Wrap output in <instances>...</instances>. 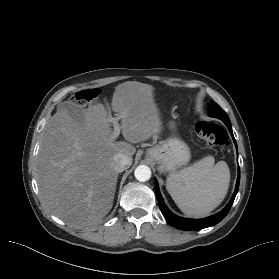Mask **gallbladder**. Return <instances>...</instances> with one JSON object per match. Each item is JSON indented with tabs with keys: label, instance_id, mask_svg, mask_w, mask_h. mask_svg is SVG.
<instances>
[{
	"label": "gallbladder",
	"instance_id": "gallbladder-1",
	"mask_svg": "<svg viewBox=\"0 0 279 279\" xmlns=\"http://www.w3.org/2000/svg\"><path fill=\"white\" fill-rule=\"evenodd\" d=\"M68 109L69 115L78 123L83 121V111L78 105H72L70 103L61 104Z\"/></svg>",
	"mask_w": 279,
	"mask_h": 279
}]
</instances>
